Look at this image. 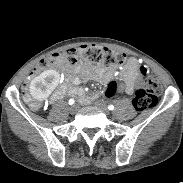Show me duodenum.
I'll return each instance as SVG.
<instances>
[{
  "mask_svg": "<svg viewBox=\"0 0 183 183\" xmlns=\"http://www.w3.org/2000/svg\"><path fill=\"white\" fill-rule=\"evenodd\" d=\"M72 92L75 93L76 96H79V101L85 105L91 104L94 100L99 98L97 93H93L88 97V92L82 91L81 89L72 90Z\"/></svg>",
  "mask_w": 183,
  "mask_h": 183,
  "instance_id": "obj_1",
  "label": "duodenum"
}]
</instances>
